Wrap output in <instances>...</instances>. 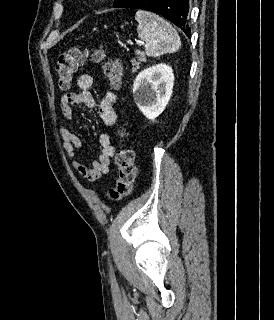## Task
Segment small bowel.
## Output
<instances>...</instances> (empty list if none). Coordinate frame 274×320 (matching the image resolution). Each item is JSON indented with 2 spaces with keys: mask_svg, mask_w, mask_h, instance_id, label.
<instances>
[{
  "mask_svg": "<svg viewBox=\"0 0 274 320\" xmlns=\"http://www.w3.org/2000/svg\"><path fill=\"white\" fill-rule=\"evenodd\" d=\"M93 83L89 74H82L77 80L78 91L69 92L61 98V111L66 121L73 122V105L84 104L93 109L96 106L95 99L89 92ZM117 97L113 92L105 93L99 103V116L103 123L108 127H113L117 123V114L115 112V103ZM62 146L70 159L72 167L86 180L94 182L103 175L109 173L112 158L116 155V147L109 134L102 133L98 137L101 147V153L92 167H88L76 158L77 151L81 148L80 138L66 127L60 128Z\"/></svg>",
  "mask_w": 274,
  "mask_h": 320,
  "instance_id": "small-bowel-1",
  "label": "small bowel"
}]
</instances>
